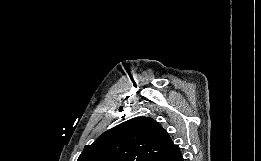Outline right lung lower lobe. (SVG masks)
Masks as SVG:
<instances>
[{
  "mask_svg": "<svg viewBox=\"0 0 261 161\" xmlns=\"http://www.w3.org/2000/svg\"><path fill=\"white\" fill-rule=\"evenodd\" d=\"M160 161H184V160H183L182 154L180 153V151H178L172 155H169V156L163 158Z\"/></svg>",
  "mask_w": 261,
  "mask_h": 161,
  "instance_id": "98d812e1",
  "label": "right lung lower lobe"
}]
</instances>
